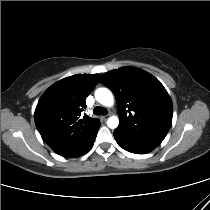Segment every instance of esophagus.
<instances>
[{
	"instance_id": "esophagus-1",
	"label": "esophagus",
	"mask_w": 210,
	"mask_h": 210,
	"mask_svg": "<svg viewBox=\"0 0 210 210\" xmlns=\"http://www.w3.org/2000/svg\"><path fill=\"white\" fill-rule=\"evenodd\" d=\"M107 117H108V116H102V117H101V120H102V121H106V120H107Z\"/></svg>"
}]
</instances>
